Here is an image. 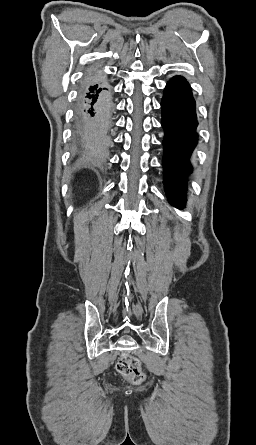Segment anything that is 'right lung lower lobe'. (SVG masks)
I'll list each match as a JSON object with an SVG mask.
<instances>
[{"mask_svg": "<svg viewBox=\"0 0 256 445\" xmlns=\"http://www.w3.org/2000/svg\"><path fill=\"white\" fill-rule=\"evenodd\" d=\"M112 102L104 80L87 82L81 90L77 117V132L84 141L83 153L90 159H103L109 143Z\"/></svg>", "mask_w": 256, "mask_h": 445, "instance_id": "1", "label": "right lung lower lobe"}]
</instances>
